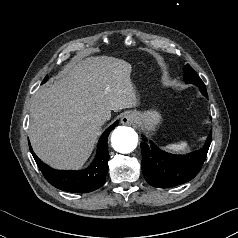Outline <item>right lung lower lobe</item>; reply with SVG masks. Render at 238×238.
I'll return each mask as SVG.
<instances>
[{
  "mask_svg": "<svg viewBox=\"0 0 238 238\" xmlns=\"http://www.w3.org/2000/svg\"><path fill=\"white\" fill-rule=\"evenodd\" d=\"M117 124L118 121L103 133L98 143L95 159L88 168L82 171H59L52 169L35 155L31 146L30 151L37 166L51 185L67 192L88 193L101 187L106 180L109 160L108 135Z\"/></svg>",
  "mask_w": 238,
  "mask_h": 238,
  "instance_id": "98d812e1",
  "label": "right lung lower lobe"
}]
</instances>
